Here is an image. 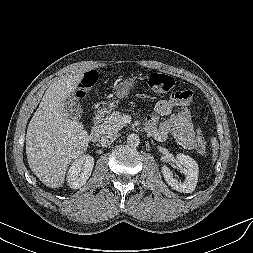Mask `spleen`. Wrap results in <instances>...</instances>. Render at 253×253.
Wrapping results in <instances>:
<instances>
[{
	"mask_svg": "<svg viewBox=\"0 0 253 253\" xmlns=\"http://www.w3.org/2000/svg\"><path fill=\"white\" fill-rule=\"evenodd\" d=\"M212 146H213V157L212 161L215 162L217 159V149H218V142L216 139H212Z\"/></svg>",
	"mask_w": 253,
	"mask_h": 253,
	"instance_id": "obj_1",
	"label": "spleen"
}]
</instances>
